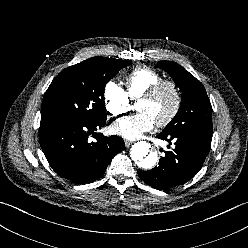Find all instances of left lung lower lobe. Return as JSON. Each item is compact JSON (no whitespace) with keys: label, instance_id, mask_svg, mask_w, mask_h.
<instances>
[{"label":"left lung lower lobe","instance_id":"1","mask_svg":"<svg viewBox=\"0 0 248 248\" xmlns=\"http://www.w3.org/2000/svg\"><path fill=\"white\" fill-rule=\"evenodd\" d=\"M157 137L168 142L174 140L175 148L165 151V156L161 157L157 167L149 171L138 170L137 173L146 184L161 190L182 185L191 180L201 169L210 151L212 139V135L164 131Z\"/></svg>","mask_w":248,"mask_h":248}]
</instances>
